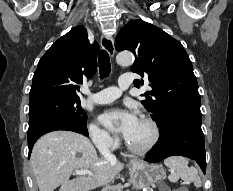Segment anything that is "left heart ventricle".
I'll return each mask as SVG.
<instances>
[{
  "label": "left heart ventricle",
  "mask_w": 233,
  "mask_h": 191,
  "mask_svg": "<svg viewBox=\"0 0 233 191\" xmlns=\"http://www.w3.org/2000/svg\"><path fill=\"white\" fill-rule=\"evenodd\" d=\"M152 136L153 130L151 125L146 121L139 119L127 140L134 145L145 146L151 141Z\"/></svg>",
  "instance_id": "left-heart-ventricle-1"
}]
</instances>
